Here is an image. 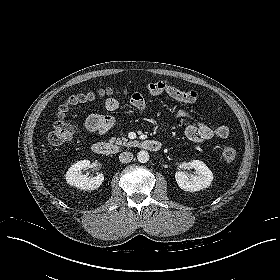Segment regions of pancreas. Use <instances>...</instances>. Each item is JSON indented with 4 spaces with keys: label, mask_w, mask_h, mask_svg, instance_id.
I'll return each instance as SVG.
<instances>
[{
    "label": "pancreas",
    "mask_w": 280,
    "mask_h": 280,
    "mask_svg": "<svg viewBox=\"0 0 280 280\" xmlns=\"http://www.w3.org/2000/svg\"><path fill=\"white\" fill-rule=\"evenodd\" d=\"M111 143L112 142H115L117 145H123V146H131L132 144L136 143V141H128L127 138H114L112 137L110 140H109Z\"/></svg>",
    "instance_id": "pancreas-1"
}]
</instances>
